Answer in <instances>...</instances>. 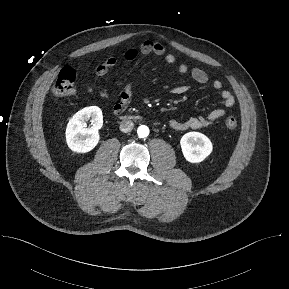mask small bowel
I'll return each mask as SVG.
<instances>
[{
	"label": "small bowel",
	"mask_w": 289,
	"mask_h": 289,
	"mask_svg": "<svg viewBox=\"0 0 289 289\" xmlns=\"http://www.w3.org/2000/svg\"><path fill=\"white\" fill-rule=\"evenodd\" d=\"M156 55L162 56L167 64H174L176 61V57L167 53L163 44L160 42L146 40L139 47H130L128 48L123 56L127 61L135 60L139 55ZM117 63V58L111 56L107 58L103 63L99 64L96 67L95 75L100 78L105 76L109 70L114 67ZM178 71L183 74H189L191 79L198 85L204 86L210 83L211 87L217 91H219L220 96L223 100V104L225 107H232L235 104V98L231 94L230 91L223 89V84L220 80H213L210 82L208 74L201 68L198 67H189L185 63H180L178 66ZM191 88L189 83L177 85L172 88L171 93L173 95H182L187 93ZM87 91L91 95H95L96 93L103 99H111L115 98L116 103L113 106V111L115 113L122 112L130 103L131 100V90L128 86H126L122 91L118 92L116 95L109 94L105 89H100L96 91L92 85L87 86ZM226 114V110L223 108H218L205 116H194L186 119L172 118L169 121V126L178 131L189 130V129H202L209 127L215 121L222 118Z\"/></svg>",
	"instance_id": "1"
}]
</instances>
